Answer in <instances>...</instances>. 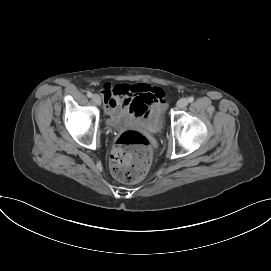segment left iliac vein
<instances>
[{
	"label": "left iliac vein",
	"instance_id": "4c4485c4",
	"mask_svg": "<svg viewBox=\"0 0 271 271\" xmlns=\"http://www.w3.org/2000/svg\"><path fill=\"white\" fill-rule=\"evenodd\" d=\"M189 101L186 98H181L178 102H177V108L182 109L184 107H186L188 105Z\"/></svg>",
	"mask_w": 271,
	"mask_h": 271
}]
</instances>
